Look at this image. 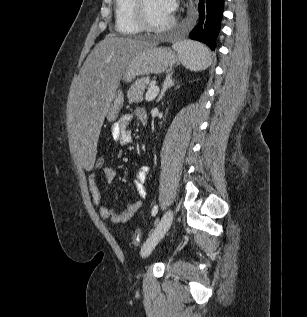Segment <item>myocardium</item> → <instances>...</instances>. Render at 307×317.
I'll list each match as a JSON object with an SVG mask.
<instances>
[{
    "mask_svg": "<svg viewBox=\"0 0 307 317\" xmlns=\"http://www.w3.org/2000/svg\"><path fill=\"white\" fill-rule=\"evenodd\" d=\"M133 12H134L135 21L140 27V29L147 32H152V33L166 32L176 22L175 17L171 16L170 20L161 26H155L151 24L146 14V0H133Z\"/></svg>",
    "mask_w": 307,
    "mask_h": 317,
    "instance_id": "myocardium-1",
    "label": "myocardium"
}]
</instances>
